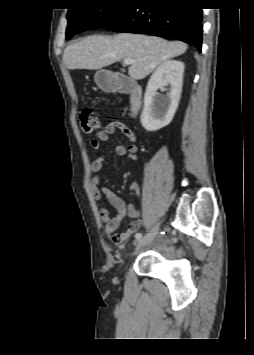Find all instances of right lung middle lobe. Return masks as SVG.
I'll return each mask as SVG.
<instances>
[{
  "instance_id": "right-lung-middle-lobe-1",
  "label": "right lung middle lobe",
  "mask_w": 254,
  "mask_h": 355,
  "mask_svg": "<svg viewBox=\"0 0 254 355\" xmlns=\"http://www.w3.org/2000/svg\"><path fill=\"white\" fill-rule=\"evenodd\" d=\"M134 1L90 0L84 7L69 9L66 38L70 39L77 33L103 27Z\"/></svg>"
}]
</instances>
